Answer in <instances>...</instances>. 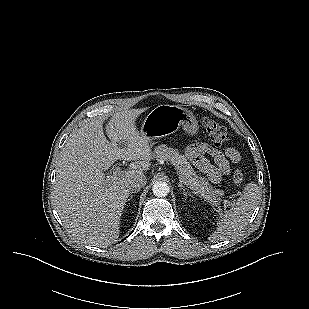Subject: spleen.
I'll return each mask as SVG.
<instances>
[{"instance_id": "3e777b00", "label": "spleen", "mask_w": 309, "mask_h": 309, "mask_svg": "<svg viewBox=\"0 0 309 309\" xmlns=\"http://www.w3.org/2000/svg\"><path fill=\"white\" fill-rule=\"evenodd\" d=\"M260 195L257 184L247 183L235 206L219 213L216 231L209 237L211 241H223L238 234L247 225Z\"/></svg>"}]
</instances>
